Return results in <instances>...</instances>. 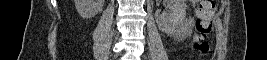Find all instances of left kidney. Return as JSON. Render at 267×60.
Segmentation results:
<instances>
[{
  "label": "left kidney",
  "instance_id": "5707ae66",
  "mask_svg": "<svg viewBox=\"0 0 267 60\" xmlns=\"http://www.w3.org/2000/svg\"><path fill=\"white\" fill-rule=\"evenodd\" d=\"M168 12L155 13L158 28L164 33H172L186 17V5L181 0H166Z\"/></svg>",
  "mask_w": 267,
  "mask_h": 60
}]
</instances>
